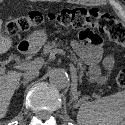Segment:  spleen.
Masks as SVG:
<instances>
[{"mask_svg": "<svg viewBox=\"0 0 125 125\" xmlns=\"http://www.w3.org/2000/svg\"><path fill=\"white\" fill-rule=\"evenodd\" d=\"M125 117V91L98 98L81 100L77 125H118Z\"/></svg>", "mask_w": 125, "mask_h": 125, "instance_id": "obj_1", "label": "spleen"}]
</instances>
